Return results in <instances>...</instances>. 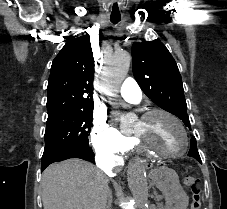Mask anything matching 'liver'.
<instances>
[{"label": "liver", "mask_w": 227, "mask_h": 209, "mask_svg": "<svg viewBox=\"0 0 227 209\" xmlns=\"http://www.w3.org/2000/svg\"><path fill=\"white\" fill-rule=\"evenodd\" d=\"M108 179L95 165L68 159L42 175L44 209H105Z\"/></svg>", "instance_id": "liver-1"}]
</instances>
